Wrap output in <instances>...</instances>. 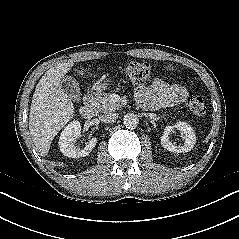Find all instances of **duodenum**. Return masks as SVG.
<instances>
[{"label": "duodenum", "mask_w": 239, "mask_h": 239, "mask_svg": "<svg viewBox=\"0 0 239 239\" xmlns=\"http://www.w3.org/2000/svg\"><path fill=\"white\" fill-rule=\"evenodd\" d=\"M96 113V98L89 94L85 97L84 105L80 109V114L85 119H91Z\"/></svg>", "instance_id": "1"}]
</instances>
